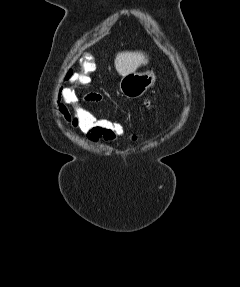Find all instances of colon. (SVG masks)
<instances>
[{
	"mask_svg": "<svg viewBox=\"0 0 240 287\" xmlns=\"http://www.w3.org/2000/svg\"><path fill=\"white\" fill-rule=\"evenodd\" d=\"M95 70L91 58H84L82 70H69L64 76V83L59 87L58 94L64 104L67 115L75 128H79L86 135H98L104 138H119L126 135L123 124L118 121L102 118L85 107V95L79 88L90 83V75ZM129 139L137 141L136 135H129Z\"/></svg>",
	"mask_w": 240,
	"mask_h": 287,
	"instance_id": "obj_1",
	"label": "colon"
}]
</instances>
